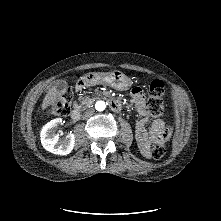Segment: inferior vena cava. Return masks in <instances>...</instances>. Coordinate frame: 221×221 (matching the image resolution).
Wrapping results in <instances>:
<instances>
[{"mask_svg": "<svg viewBox=\"0 0 221 221\" xmlns=\"http://www.w3.org/2000/svg\"><path fill=\"white\" fill-rule=\"evenodd\" d=\"M94 114V109L93 108H90V109H87L84 114H83V117L84 118H88L90 116H92Z\"/></svg>", "mask_w": 221, "mask_h": 221, "instance_id": "1", "label": "inferior vena cava"}]
</instances>
